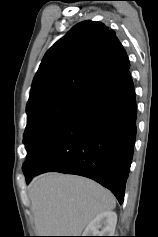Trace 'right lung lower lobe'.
Segmentation results:
<instances>
[{"label": "right lung lower lobe", "mask_w": 158, "mask_h": 237, "mask_svg": "<svg viewBox=\"0 0 158 237\" xmlns=\"http://www.w3.org/2000/svg\"><path fill=\"white\" fill-rule=\"evenodd\" d=\"M137 107L130 72L99 89L39 146L23 170L32 176L57 171L91 178L121 204L136 138Z\"/></svg>", "instance_id": "98d812e1"}]
</instances>
